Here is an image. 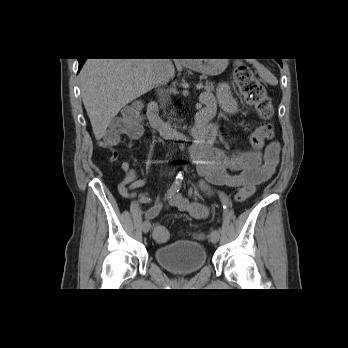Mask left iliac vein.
Returning <instances> with one entry per match:
<instances>
[{"label":"left iliac vein","mask_w":348,"mask_h":348,"mask_svg":"<svg viewBox=\"0 0 348 348\" xmlns=\"http://www.w3.org/2000/svg\"><path fill=\"white\" fill-rule=\"evenodd\" d=\"M220 234L218 230H212V232L210 233V240L212 243H217L219 240Z\"/></svg>","instance_id":"1"}]
</instances>
